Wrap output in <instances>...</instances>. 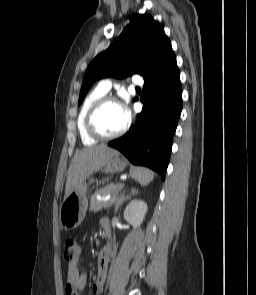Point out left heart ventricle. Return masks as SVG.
<instances>
[{
    "label": "left heart ventricle",
    "instance_id": "obj_1",
    "mask_svg": "<svg viewBox=\"0 0 256 295\" xmlns=\"http://www.w3.org/2000/svg\"><path fill=\"white\" fill-rule=\"evenodd\" d=\"M126 123V114L122 107L115 103L103 106L95 117L98 130L104 134H113L119 131Z\"/></svg>",
    "mask_w": 256,
    "mask_h": 295
}]
</instances>
